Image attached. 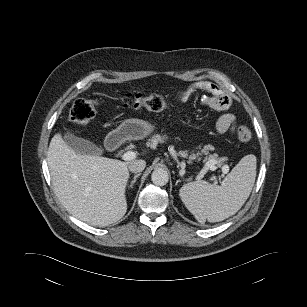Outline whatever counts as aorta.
Masks as SVG:
<instances>
[{"mask_svg":"<svg viewBox=\"0 0 307 307\" xmlns=\"http://www.w3.org/2000/svg\"><path fill=\"white\" fill-rule=\"evenodd\" d=\"M152 182L157 186H164L169 180L167 170L163 168H156L151 175Z\"/></svg>","mask_w":307,"mask_h":307,"instance_id":"1","label":"aorta"}]
</instances>
